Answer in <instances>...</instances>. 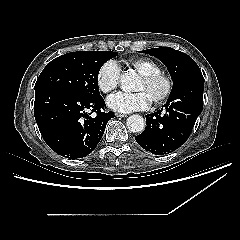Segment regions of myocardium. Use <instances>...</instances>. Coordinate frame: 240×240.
Segmentation results:
<instances>
[{
	"instance_id": "1",
	"label": "myocardium",
	"mask_w": 240,
	"mask_h": 240,
	"mask_svg": "<svg viewBox=\"0 0 240 240\" xmlns=\"http://www.w3.org/2000/svg\"><path fill=\"white\" fill-rule=\"evenodd\" d=\"M139 77L146 84H153L155 82H161L163 84V89L161 93L156 96L152 100V102L160 103L169 97L172 90V83L170 79L164 74H162L160 71H152L149 73L141 74Z\"/></svg>"
}]
</instances>
